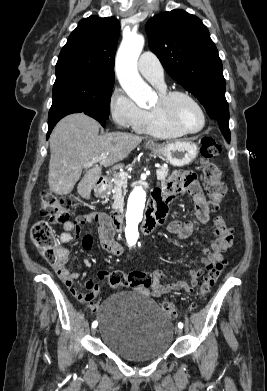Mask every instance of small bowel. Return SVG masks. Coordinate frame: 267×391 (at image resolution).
Masks as SVG:
<instances>
[{
    "instance_id": "c3829d8e",
    "label": "small bowel",
    "mask_w": 267,
    "mask_h": 391,
    "mask_svg": "<svg viewBox=\"0 0 267 391\" xmlns=\"http://www.w3.org/2000/svg\"><path fill=\"white\" fill-rule=\"evenodd\" d=\"M188 193L194 202V216L198 223L206 224L210 219L209 206L202 190L196 180V176L186 170L175 171L162 184L155 188L153 192V204L161 215L162 221L165 218L168 205L177 197ZM98 222V237L102 249L111 256H120L123 253L122 245L116 241L114 231L110 225L109 217L104 213H88L77 217L73 221H66L63 224V231L59 235V244L57 247V261L53 264L56 275L71 289L74 296L82 302L88 303L91 308L97 309L101 305L99 300V287L94 277L85 280L87 293H81L73 288V281L80 277L77 271L66 269L68 262L69 249L65 246L70 243L74 234L79 235L82 226L85 223ZM169 233L183 239L196 232V224L192 221H172L168 224ZM211 230L216 235V240L209 247L203 248L201 262L206 269H210L215 263L222 260L224 253L230 248L233 241V230L227 227L221 217L214 219ZM93 244V237L87 233L82 240V247L89 250ZM204 269H191L189 271V281L168 282L161 270H156L152 274V283L150 289L145 294L152 297H160L163 294L174 290H181L186 293H193L198 285L199 278L203 275ZM112 273L100 271L96 274L98 279H109Z\"/></svg>"
}]
</instances>
